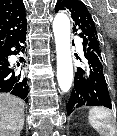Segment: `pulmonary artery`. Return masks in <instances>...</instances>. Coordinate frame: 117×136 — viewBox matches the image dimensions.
<instances>
[{
	"instance_id": "pulmonary-artery-1",
	"label": "pulmonary artery",
	"mask_w": 117,
	"mask_h": 136,
	"mask_svg": "<svg viewBox=\"0 0 117 136\" xmlns=\"http://www.w3.org/2000/svg\"><path fill=\"white\" fill-rule=\"evenodd\" d=\"M78 47L81 48V44L80 43L78 44Z\"/></svg>"
}]
</instances>
